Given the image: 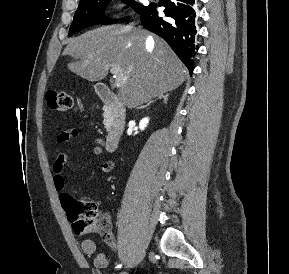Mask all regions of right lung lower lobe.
<instances>
[{
  "label": "right lung lower lobe",
  "mask_w": 289,
  "mask_h": 274,
  "mask_svg": "<svg viewBox=\"0 0 289 274\" xmlns=\"http://www.w3.org/2000/svg\"><path fill=\"white\" fill-rule=\"evenodd\" d=\"M195 0H160L158 5L149 4L140 13L143 26L161 36L192 73L196 35L194 9ZM157 6H164L165 17H159Z\"/></svg>",
  "instance_id": "98d812e1"
}]
</instances>
